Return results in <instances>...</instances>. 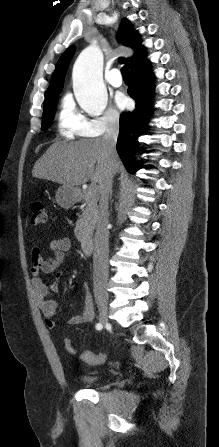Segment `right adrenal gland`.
<instances>
[{
	"label": "right adrenal gland",
	"instance_id": "2a0ac1e0",
	"mask_svg": "<svg viewBox=\"0 0 219 447\" xmlns=\"http://www.w3.org/2000/svg\"><path fill=\"white\" fill-rule=\"evenodd\" d=\"M112 196V190H111V193H110V197Z\"/></svg>",
	"mask_w": 219,
	"mask_h": 447
}]
</instances>
